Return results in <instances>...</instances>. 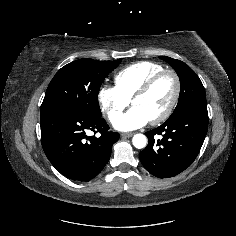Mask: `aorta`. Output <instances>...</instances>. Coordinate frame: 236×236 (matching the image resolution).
Returning a JSON list of instances; mask_svg holds the SVG:
<instances>
[{"mask_svg":"<svg viewBox=\"0 0 236 236\" xmlns=\"http://www.w3.org/2000/svg\"><path fill=\"white\" fill-rule=\"evenodd\" d=\"M132 143L137 149H142L147 145V138L143 134H135L132 138Z\"/></svg>","mask_w":236,"mask_h":236,"instance_id":"762f6f07","label":"aorta"}]
</instances>
